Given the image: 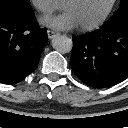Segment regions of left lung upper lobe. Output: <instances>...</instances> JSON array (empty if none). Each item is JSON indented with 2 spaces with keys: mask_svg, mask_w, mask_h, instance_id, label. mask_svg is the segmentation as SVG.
<instances>
[{
  "mask_svg": "<svg viewBox=\"0 0 128 128\" xmlns=\"http://www.w3.org/2000/svg\"><path fill=\"white\" fill-rule=\"evenodd\" d=\"M124 16H128V0H121L119 9L108 21H114Z\"/></svg>",
  "mask_w": 128,
  "mask_h": 128,
  "instance_id": "1",
  "label": "left lung upper lobe"
}]
</instances>
